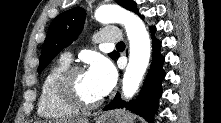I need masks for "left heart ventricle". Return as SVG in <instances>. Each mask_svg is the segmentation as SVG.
Instances as JSON below:
<instances>
[{"mask_svg":"<svg viewBox=\"0 0 221 123\" xmlns=\"http://www.w3.org/2000/svg\"><path fill=\"white\" fill-rule=\"evenodd\" d=\"M75 88L79 96L86 102H94L102 98L87 72L75 77Z\"/></svg>","mask_w":221,"mask_h":123,"instance_id":"left-heart-ventricle-1","label":"left heart ventricle"}]
</instances>
